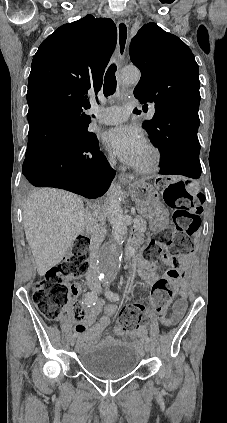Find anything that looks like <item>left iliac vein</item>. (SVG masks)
Returning a JSON list of instances; mask_svg holds the SVG:
<instances>
[{"label": "left iliac vein", "mask_w": 227, "mask_h": 423, "mask_svg": "<svg viewBox=\"0 0 227 423\" xmlns=\"http://www.w3.org/2000/svg\"><path fill=\"white\" fill-rule=\"evenodd\" d=\"M97 290H98V291H100V289H99V288H97ZM145 350H146L147 352L151 351V345H150V343H146V344H145Z\"/></svg>", "instance_id": "left-iliac-vein-1"}]
</instances>
